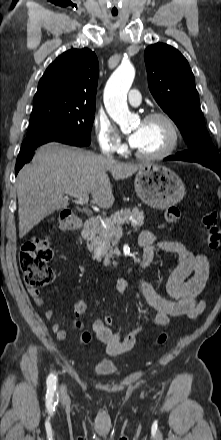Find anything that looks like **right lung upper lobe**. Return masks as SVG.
<instances>
[{
	"label": "right lung upper lobe",
	"mask_w": 221,
	"mask_h": 440,
	"mask_svg": "<svg viewBox=\"0 0 221 440\" xmlns=\"http://www.w3.org/2000/svg\"><path fill=\"white\" fill-rule=\"evenodd\" d=\"M98 59L90 49H71L49 65L38 83L34 103L60 101L95 105Z\"/></svg>",
	"instance_id": "obj_1"
}]
</instances>
